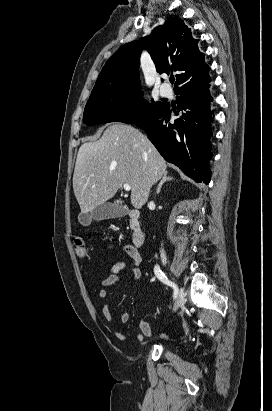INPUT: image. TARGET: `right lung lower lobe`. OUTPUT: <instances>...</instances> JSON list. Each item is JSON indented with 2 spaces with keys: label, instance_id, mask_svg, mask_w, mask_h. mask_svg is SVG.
I'll return each instance as SVG.
<instances>
[{
  "label": "right lung lower lobe",
  "instance_id": "98d812e1",
  "mask_svg": "<svg viewBox=\"0 0 272 411\" xmlns=\"http://www.w3.org/2000/svg\"><path fill=\"white\" fill-rule=\"evenodd\" d=\"M210 78L204 75L195 83L175 90L177 110L163 103L149 118L136 122L165 160L178 166L196 182L210 181L208 161L212 157L209 138L212 112L209 94ZM177 116L173 123L171 116Z\"/></svg>",
  "mask_w": 272,
  "mask_h": 411
}]
</instances>
